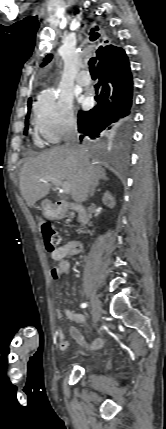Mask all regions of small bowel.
<instances>
[{"instance_id": "small-bowel-1", "label": "small bowel", "mask_w": 166, "mask_h": 429, "mask_svg": "<svg viewBox=\"0 0 166 429\" xmlns=\"http://www.w3.org/2000/svg\"><path fill=\"white\" fill-rule=\"evenodd\" d=\"M82 251L83 245L80 242L70 241L58 247L55 251L51 252V259L58 262L57 266H55L51 270L52 277L57 280L61 277L67 276L71 270L70 259L80 254ZM64 315L74 323H86V318L82 314H79L71 309H65L64 311H56V317L58 319H61ZM69 334L78 344H81L86 350L89 351L98 350L102 348L105 344L104 338H96L93 340L92 343H86L84 341L83 334L80 332V330L73 326L69 327ZM58 339L60 349L67 350L69 348V342L60 329L58 330Z\"/></svg>"}]
</instances>
